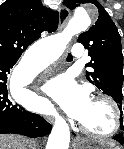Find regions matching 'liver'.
<instances>
[{
  "label": "liver",
  "instance_id": "liver-1",
  "mask_svg": "<svg viewBox=\"0 0 124 149\" xmlns=\"http://www.w3.org/2000/svg\"><path fill=\"white\" fill-rule=\"evenodd\" d=\"M31 141L17 135H0V149H27Z\"/></svg>",
  "mask_w": 124,
  "mask_h": 149
}]
</instances>
